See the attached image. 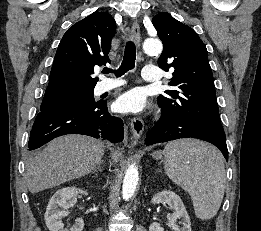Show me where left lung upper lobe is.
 <instances>
[{
    "label": "left lung upper lobe",
    "instance_id": "obj_1",
    "mask_svg": "<svg viewBox=\"0 0 261 231\" xmlns=\"http://www.w3.org/2000/svg\"><path fill=\"white\" fill-rule=\"evenodd\" d=\"M152 23L163 42L158 65L164 71L174 69L168 84L175 89L166 90V96L157 98L161 110L180 114L198 127L225 138L206 46L192 28L169 13L157 14Z\"/></svg>",
    "mask_w": 261,
    "mask_h": 231
}]
</instances>
